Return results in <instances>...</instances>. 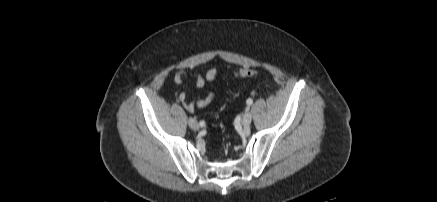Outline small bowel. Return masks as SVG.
Here are the masks:
<instances>
[{
  "label": "small bowel",
  "mask_w": 437,
  "mask_h": 202,
  "mask_svg": "<svg viewBox=\"0 0 437 202\" xmlns=\"http://www.w3.org/2000/svg\"><path fill=\"white\" fill-rule=\"evenodd\" d=\"M189 76V73L186 70H179L175 73L174 79L175 82L178 84H182L183 80ZM192 76L195 79L196 86L199 89L204 88L206 81H213L215 80L217 76V70L216 69H210L207 71L205 76L201 75L198 72H195L192 74ZM215 98L214 92H209L204 98L202 99H195L188 101L187 100V94L185 92H182L178 96L179 102L182 104V106L188 111V112H194L197 108H205L209 106L212 101Z\"/></svg>",
  "instance_id": "c3829d8e"
}]
</instances>
